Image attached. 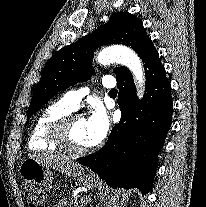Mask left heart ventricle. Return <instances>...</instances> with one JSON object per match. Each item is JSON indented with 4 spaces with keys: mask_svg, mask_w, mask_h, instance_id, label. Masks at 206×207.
Listing matches in <instances>:
<instances>
[{
    "mask_svg": "<svg viewBox=\"0 0 206 207\" xmlns=\"http://www.w3.org/2000/svg\"><path fill=\"white\" fill-rule=\"evenodd\" d=\"M71 144L75 148H88L87 124L85 119L76 120L68 131Z\"/></svg>",
    "mask_w": 206,
    "mask_h": 207,
    "instance_id": "b2bd125f",
    "label": "left heart ventricle"
}]
</instances>
